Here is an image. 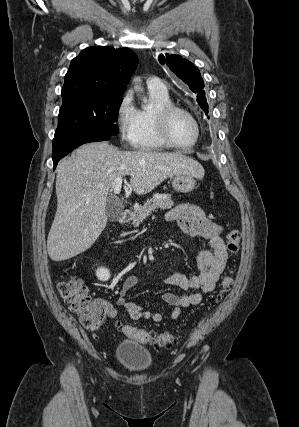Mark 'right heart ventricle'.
<instances>
[{"label":"right heart ventricle","mask_w":299,"mask_h":427,"mask_svg":"<svg viewBox=\"0 0 299 427\" xmlns=\"http://www.w3.org/2000/svg\"><path fill=\"white\" fill-rule=\"evenodd\" d=\"M150 106L137 109L138 131L135 147L141 150H162L166 145L160 139L156 125L155 112L158 108L172 104L168 91L162 92L148 87Z\"/></svg>","instance_id":"1"}]
</instances>
